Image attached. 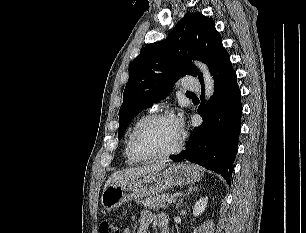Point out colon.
Returning a JSON list of instances; mask_svg holds the SVG:
<instances>
[{"instance_id": "1", "label": "colon", "mask_w": 306, "mask_h": 233, "mask_svg": "<svg viewBox=\"0 0 306 233\" xmlns=\"http://www.w3.org/2000/svg\"><path fill=\"white\" fill-rule=\"evenodd\" d=\"M100 233H123V231L115 222L106 220L100 224Z\"/></svg>"}]
</instances>
